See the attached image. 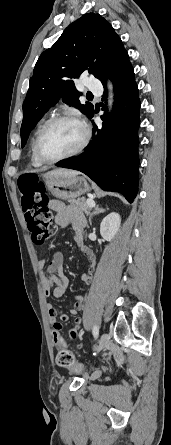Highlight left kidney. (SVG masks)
Returning a JSON list of instances; mask_svg holds the SVG:
<instances>
[{"label": "left kidney", "mask_w": 171, "mask_h": 445, "mask_svg": "<svg viewBox=\"0 0 171 445\" xmlns=\"http://www.w3.org/2000/svg\"><path fill=\"white\" fill-rule=\"evenodd\" d=\"M121 218L118 213L108 214L100 224V234L106 241H111L119 230Z\"/></svg>", "instance_id": "5707ae66"}]
</instances>
